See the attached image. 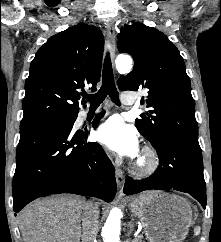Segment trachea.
<instances>
[{
	"label": "trachea",
	"mask_w": 221,
	"mask_h": 242,
	"mask_svg": "<svg viewBox=\"0 0 221 242\" xmlns=\"http://www.w3.org/2000/svg\"><path fill=\"white\" fill-rule=\"evenodd\" d=\"M109 95L111 100L118 106H120L119 94L114 83L112 64L110 61L109 53L106 54L104 60V67L102 73V86L100 90L92 95H84V98L88 100L91 106H99Z\"/></svg>",
	"instance_id": "3493384b"
}]
</instances>
